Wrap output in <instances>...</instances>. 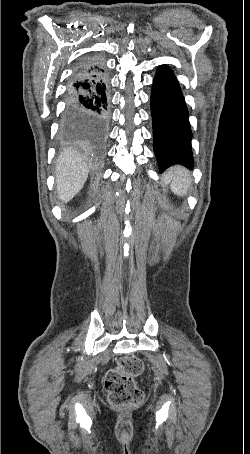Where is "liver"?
Segmentation results:
<instances>
[{
	"mask_svg": "<svg viewBox=\"0 0 250 454\" xmlns=\"http://www.w3.org/2000/svg\"><path fill=\"white\" fill-rule=\"evenodd\" d=\"M87 163L74 151L65 150L58 158L55 179L57 194L63 203L69 202L83 188L88 178Z\"/></svg>",
	"mask_w": 250,
	"mask_h": 454,
	"instance_id": "liver-1",
	"label": "liver"
}]
</instances>
